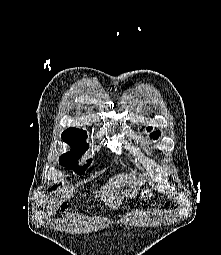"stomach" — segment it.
<instances>
[{"instance_id":"obj_1","label":"stomach","mask_w":221,"mask_h":255,"mask_svg":"<svg viewBox=\"0 0 221 255\" xmlns=\"http://www.w3.org/2000/svg\"><path fill=\"white\" fill-rule=\"evenodd\" d=\"M140 200L149 202L155 198V194L150 187L143 188L139 193Z\"/></svg>"}]
</instances>
